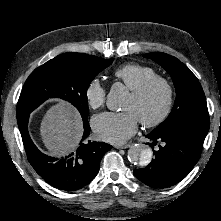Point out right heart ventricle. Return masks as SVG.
Segmentation results:
<instances>
[{"instance_id": "e07e8e85", "label": "right heart ventricle", "mask_w": 221, "mask_h": 221, "mask_svg": "<svg viewBox=\"0 0 221 221\" xmlns=\"http://www.w3.org/2000/svg\"><path fill=\"white\" fill-rule=\"evenodd\" d=\"M114 76L121 80L128 89L133 90L149 78L157 76V73L149 66L128 63L119 66L114 71Z\"/></svg>"}]
</instances>
